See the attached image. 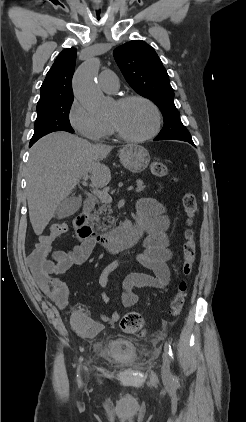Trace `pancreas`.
Segmentation results:
<instances>
[{"mask_svg": "<svg viewBox=\"0 0 246 422\" xmlns=\"http://www.w3.org/2000/svg\"><path fill=\"white\" fill-rule=\"evenodd\" d=\"M137 183V189L136 192H141L145 186L143 184V181L138 179L136 181ZM111 205L108 202H104V201H100V205L98 206L97 211L95 212V214L93 215L94 220L96 221L97 224H101V226H98V229H101L103 231H106L109 227H111L113 225V221H111ZM104 222H108L110 225L107 226L104 224Z\"/></svg>", "mask_w": 246, "mask_h": 422, "instance_id": "obj_1", "label": "pancreas"}]
</instances>
